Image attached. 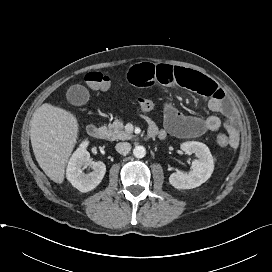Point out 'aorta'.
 I'll return each mask as SVG.
<instances>
[{
  "label": "aorta",
  "instance_id": "aorta-1",
  "mask_svg": "<svg viewBox=\"0 0 272 272\" xmlns=\"http://www.w3.org/2000/svg\"><path fill=\"white\" fill-rule=\"evenodd\" d=\"M133 154L136 158H143L146 155V149L143 146H136Z\"/></svg>",
  "mask_w": 272,
  "mask_h": 272
}]
</instances>
